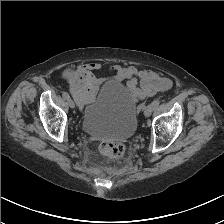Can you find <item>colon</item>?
Wrapping results in <instances>:
<instances>
[{
	"label": "colon",
	"mask_w": 224,
	"mask_h": 224,
	"mask_svg": "<svg viewBox=\"0 0 224 224\" xmlns=\"http://www.w3.org/2000/svg\"><path fill=\"white\" fill-rule=\"evenodd\" d=\"M70 90L80 102L84 103L96 96L98 85L90 70L79 68L71 76ZM99 150L107 157L117 158L123 155L124 145L116 140H104L100 143Z\"/></svg>",
	"instance_id": "5ec220e1"
}]
</instances>
